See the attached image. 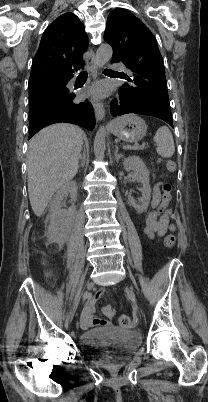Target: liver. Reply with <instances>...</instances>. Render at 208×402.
Segmentation results:
<instances>
[{"mask_svg": "<svg viewBox=\"0 0 208 402\" xmlns=\"http://www.w3.org/2000/svg\"><path fill=\"white\" fill-rule=\"evenodd\" d=\"M82 130L53 124L38 132L27 152L28 194L35 216L41 218L56 190L78 172Z\"/></svg>", "mask_w": 208, "mask_h": 402, "instance_id": "liver-1", "label": "liver"}]
</instances>
